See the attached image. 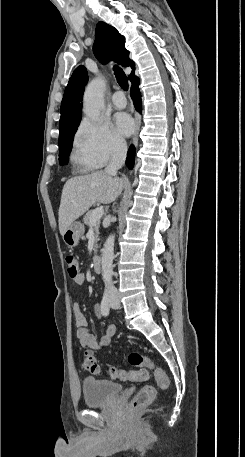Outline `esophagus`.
I'll use <instances>...</instances> for the list:
<instances>
[{
    "mask_svg": "<svg viewBox=\"0 0 245 457\" xmlns=\"http://www.w3.org/2000/svg\"><path fill=\"white\" fill-rule=\"evenodd\" d=\"M134 118H135V122H136V128H135V132H134L132 141L134 144H136L138 141V135H139L140 125H141V119H140L139 112H137V111L134 112Z\"/></svg>",
    "mask_w": 245,
    "mask_h": 457,
    "instance_id": "obj_1",
    "label": "esophagus"
}]
</instances>
